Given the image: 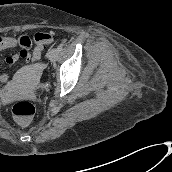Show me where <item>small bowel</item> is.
I'll use <instances>...</instances> for the list:
<instances>
[{"mask_svg": "<svg viewBox=\"0 0 172 172\" xmlns=\"http://www.w3.org/2000/svg\"><path fill=\"white\" fill-rule=\"evenodd\" d=\"M43 33L45 32H38L33 38L27 35L0 34V51L15 47L20 48L17 53L8 56L6 62L9 65H13L19 60H23L26 63L40 60L44 45L50 43L39 39ZM9 78L10 76L7 73L0 74V82H7Z\"/></svg>", "mask_w": 172, "mask_h": 172, "instance_id": "obj_1", "label": "small bowel"}]
</instances>
